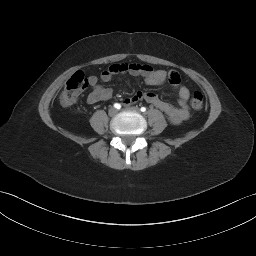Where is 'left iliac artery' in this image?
Listing matches in <instances>:
<instances>
[{"mask_svg":"<svg viewBox=\"0 0 256 256\" xmlns=\"http://www.w3.org/2000/svg\"><path fill=\"white\" fill-rule=\"evenodd\" d=\"M142 112H145L146 111V108L145 107H141L140 109Z\"/></svg>","mask_w":256,"mask_h":256,"instance_id":"left-iliac-artery-1","label":"left iliac artery"}]
</instances>
